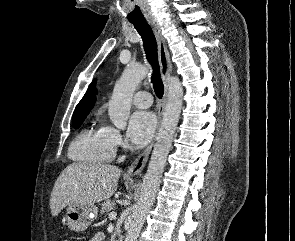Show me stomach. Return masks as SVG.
Segmentation results:
<instances>
[{"label": "stomach", "mask_w": 295, "mask_h": 241, "mask_svg": "<svg viewBox=\"0 0 295 241\" xmlns=\"http://www.w3.org/2000/svg\"><path fill=\"white\" fill-rule=\"evenodd\" d=\"M97 206L87 204H70L66 209L67 225L72 231L83 232L96 219Z\"/></svg>", "instance_id": "0dacf381"}]
</instances>
